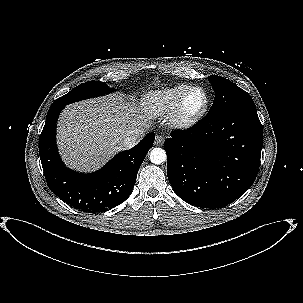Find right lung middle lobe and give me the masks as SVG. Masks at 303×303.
<instances>
[{"instance_id": "dd1d6c3e", "label": "right lung middle lobe", "mask_w": 303, "mask_h": 303, "mask_svg": "<svg viewBox=\"0 0 303 303\" xmlns=\"http://www.w3.org/2000/svg\"><path fill=\"white\" fill-rule=\"evenodd\" d=\"M104 82L89 81L72 89L66 95L58 98L52 104L67 105L83 99L97 97L113 92Z\"/></svg>"}]
</instances>
